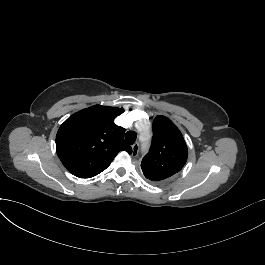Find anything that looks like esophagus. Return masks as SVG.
Masks as SVG:
<instances>
[{
	"label": "esophagus",
	"mask_w": 265,
	"mask_h": 265,
	"mask_svg": "<svg viewBox=\"0 0 265 265\" xmlns=\"http://www.w3.org/2000/svg\"><path fill=\"white\" fill-rule=\"evenodd\" d=\"M139 152V144L136 142L132 145V156L136 157Z\"/></svg>",
	"instance_id": "1"
}]
</instances>
